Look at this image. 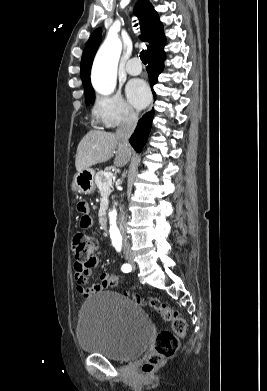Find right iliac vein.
Returning a JSON list of instances; mask_svg holds the SVG:
<instances>
[{
  "mask_svg": "<svg viewBox=\"0 0 267 391\" xmlns=\"http://www.w3.org/2000/svg\"><path fill=\"white\" fill-rule=\"evenodd\" d=\"M128 261L131 263L132 262V258L131 257H127Z\"/></svg>",
  "mask_w": 267,
  "mask_h": 391,
  "instance_id": "63e3f726",
  "label": "right iliac vein"
}]
</instances>
